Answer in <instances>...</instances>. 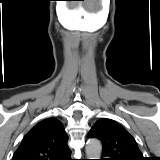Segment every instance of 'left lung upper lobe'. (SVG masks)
<instances>
[{
    "label": "left lung upper lobe",
    "mask_w": 160,
    "mask_h": 160,
    "mask_svg": "<svg viewBox=\"0 0 160 160\" xmlns=\"http://www.w3.org/2000/svg\"><path fill=\"white\" fill-rule=\"evenodd\" d=\"M88 136L103 146L101 160H145L135 139L114 120L102 118L90 129Z\"/></svg>",
    "instance_id": "1"
}]
</instances>
